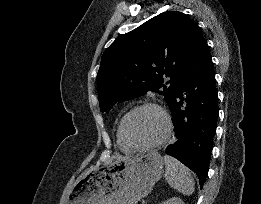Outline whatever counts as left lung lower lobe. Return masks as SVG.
Here are the masks:
<instances>
[{"label":"left lung lower lobe","mask_w":261,"mask_h":204,"mask_svg":"<svg viewBox=\"0 0 261 204\" xmlns=\"http://www.w3.org/2000/svg\"><path fill=\"white\" fill-rule=\"evenodd\" d=\"M169 107L176 140L166 148V153L194 171L202 188L209 170L219 108L211 54L200 30Z\"/></svg>","instance_id":"left-lung-lower-lobe-1"}]
</instances>
